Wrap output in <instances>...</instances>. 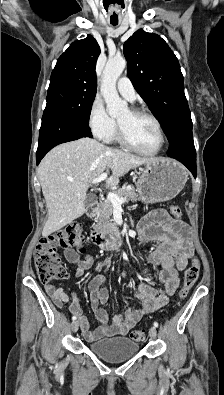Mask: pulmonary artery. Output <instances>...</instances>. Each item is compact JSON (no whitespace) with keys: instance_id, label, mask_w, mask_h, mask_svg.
I'll use <instances>...</instances> for the list:
<instances>
[{"instance_id":"e3ab8cb5","label":"pulmonary artery","mask_w":224,"mask_h":395,"mask_svg":"<svg viewBox=\"0 0 224 395\" xmlns=\"http://www.w3.org/2000/svg\"><path fill=\"white\" fill-rule=\"evenodd\" d=\"M117 89L119 93L128 101H134L136 98V92L133 84L127 77H121L117 81Z\"/></svg>"}]
</instances>
